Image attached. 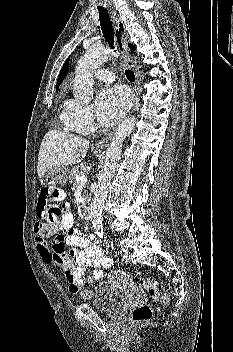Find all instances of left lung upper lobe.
<instances>
[{
  "instance_id": "left-lung-upper-lobe-1",
  "label": "left lung upper lobe",
  "mask_w": 233,
  "mask_h": 352,
  "mask_svg": "<svg viewBox=\"0 0 233 352\" xmlns=\"http://www.w3.org/2000/svg\"><path fill=\"white\" fill-rule=\"evenodd\" d=\"M129 47H130L131 50H134V49H135L134 46L131 45V44H129Z\"/></svg>"
}]
</instances>
